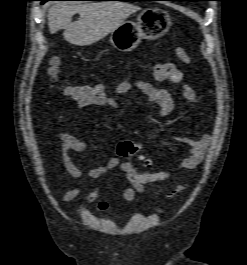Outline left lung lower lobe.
I'll list each match as a JSON object with an SVG mask.
<instances>
[{"mask_svg":"<svg viewBox=\"0 0 247 265\" xmlns=\"http://www.w3.org/2000/svg\"><path fill=\"white\" fill-rule=\"evenodd\" d=\"M170 1H198V0H170Z\"/></svg>","mask_w":247,"mask_h":265,"instance_id":"0a47b994","label":"left lung lower lobe"}]
</instances>
